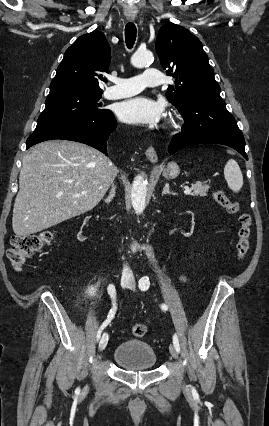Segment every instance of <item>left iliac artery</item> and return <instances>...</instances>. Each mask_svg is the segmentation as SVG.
Here are the masks:
<instances>
[{
	"label": "left iliac artery",
	"mask_w": 269,
	"mask_h": 426,
	"mask_svg": "<svg viewBox=\"0 0 269 426\" xmlns=\"http://www.w3.org/2000/svg\"><path fill=\"white\" fill-rule=\"evenodd\" d=\"M149 286H150V281H149L148 277H143L139 280V288L142 291L147 290L149 288ZM161 308H162V310H165V311L168 310V306L166 304H162ZM173 344H174L177 352H179L180 351V345H179L178 336L176 334H174V336H173ZM192 391H195V389L192 388Z\"/></svg>",
	"instance_id": "obj_1"
}]
</instances>
